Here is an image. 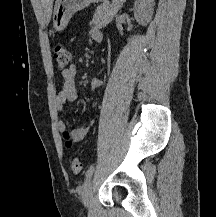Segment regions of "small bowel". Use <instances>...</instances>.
Returning a JSON list of instances; mask_svg holds the SVG:
<instances>
[{
  "label": "small bowel",
  "mask_w": 216,
  "mask_h": 217,
  "mask_svg": "<svg viewBox=\"0 0 216 217\" xmlns=\"http://www.w3.org/2000/svg\"><path fill=\"white\" fill-rule=\"evenodd\" d=\"M92 40L100 42L102 34L96 27H92L89 31ZM76 66L70 65L67 69L61 71L62 87L55 97V108L58 112H62L67 102H74L78 99V91L75 81ZM102 84L101 78H94L90 83L91 91L97 90ZM92 122L81 125L72 130L70 137L74 142L82 141L90 132ZM58 130L60 134L64 135L66 132V125L63 121H58Z\"/></svg>",
  "instance_id": "1"
}]
</instances>
